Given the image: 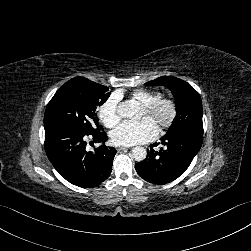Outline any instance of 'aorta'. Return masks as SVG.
Returning <instances> with one entry per match:
<instances>
[{"instance_id": "aorta-1", "label": "aorta", "mask_w": 251, "mask_h": 251, "mask_svg": "<svg viewBox=\"0 0 251 251\" xmlns=\"http://www.w3.org/2000/svg\"><path fill=\"white\" fill-rule=\"evenodd\" d=\"M135 106L130 101L123 102L118 108V113L125 118H131L135 115ZM133 158L137 161H142L146 157V149L142 146H135L131 150Z\"/></svg>"}]
</instances>
